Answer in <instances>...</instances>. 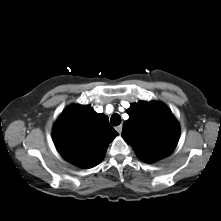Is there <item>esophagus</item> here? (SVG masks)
Wrapping results in <instances>:
<instances>
[{
    "mask_svg": "<svg viewBox=\"0 0 221 221\" xmlns=\"http://www.w3.org/2000/svg\"><path fill=\"white\" fill-rule=\"evenodd\" d=\"M122 125L116 127V131L120 134L122 132Z\"/></svg>",
    "mask_w": 221,
    "mask_h": 221,
    "instance_id": "obj_1",
    "label": "esophagus"
}]
</instances>
